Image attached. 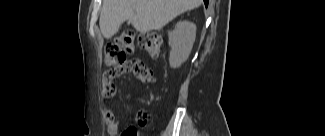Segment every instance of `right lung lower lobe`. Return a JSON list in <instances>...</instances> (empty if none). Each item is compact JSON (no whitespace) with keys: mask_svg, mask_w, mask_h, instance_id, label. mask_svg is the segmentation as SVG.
Wrapping results in <instances>:
<instances>
[{"mask_svg":"<svg viewBox=\"0 0 325 136\" xmlns=\"http://www.w3.org/2000/svg\"><path fill=\"white\" fill-rule=\"evenodd\" d=\"M204 3L207 6L208 5V0H204Z\"/></svg>","mask_w":325,"mask_h":136,"instance_id":"right-lung-lower-lobe-1","label":"right lung lower lobe"}]
</instances>
